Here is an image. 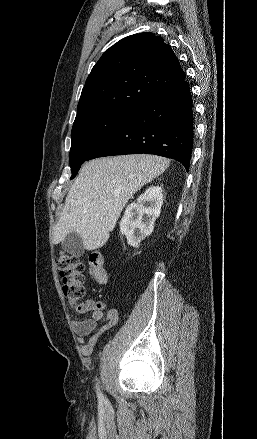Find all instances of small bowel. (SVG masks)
I'll return each instance as SVG.
<instances>
[{
  "label": "small bowel",
  "instance_id": "c3829d8e",
  "mask_svg": "<svg viewBox=\"0 0 257 439\" xmlns=\"http://www.w3.org/2000/svg\"><path fill=\"white\" fill-rule=\"evenodd\" d=\"M105 308V303L91 298L86 299L76 307V313L78 314H91L87 319L73 321V329L78 336V343L86 356L93 353L97 343L95 336L89 339H86V337L98 328V324L105 321L107 325L113 326L118 322V313L115 310L104 313Z\"/></svg>",
  "mask_w": 257,
  "mask_h": 439
}]
</instances>
